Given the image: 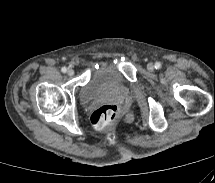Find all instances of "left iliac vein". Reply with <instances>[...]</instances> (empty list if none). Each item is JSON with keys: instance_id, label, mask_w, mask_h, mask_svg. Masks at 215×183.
<instances>
[{"instance_id": "obj_1", "label": "left iliac vein", "mask_w": 215, "mask_h": 183, "mask_svg": "<svg viewBox=\"0 0 215 183\" xmlns=\"http://www.w3.org/2000/svg\"><path fill=\"white\" fill-rule=\"evenodd\" d=\"M147 69H148L149 71H153V70H154V65H153L152 63H149V64L147 65Z\"/></svg>"}]
</instances>
